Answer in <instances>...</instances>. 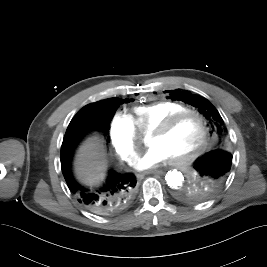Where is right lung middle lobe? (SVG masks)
<instances>
[{
    "instance_id": "dd1d6c3e",
    "label": "right lung middle lobe",
    "mask_w": 267,
    "mask_h": 267,
    "mask_svg": "<svg viewBox=\"0 0 267 267\" xmlns=\"http://www.w3.org/2000/svg\"><path fill=\"white\" fill-rule=\"evenodd\" d=\"M122 102H127V100H120L118 101L117 98H112V99H106V100H103L102 102H100V106L104 107L105 109V112L108 114V115H112L114 114V112L117 110V108L119 107V105L122 103ZM108 134V130L105 131L104 135H107Z\"/></svg>"
}]
</instances>
